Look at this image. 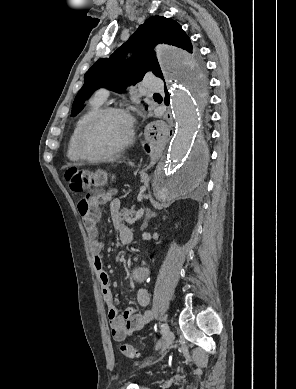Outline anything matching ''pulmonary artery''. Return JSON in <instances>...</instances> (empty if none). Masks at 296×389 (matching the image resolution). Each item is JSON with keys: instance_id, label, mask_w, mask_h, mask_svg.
<instances>
[{"instance_id": "pulmonary-artery-1", "label": "pulmonary artery", "mask_w": 296, "mask_h": 389, "mask_svg": "<svg viewBox=\"0 0 296 389\" xmlns=\"http://www.w3.org/2000/svg\"><path fill=\"white\" fill-rule=\"evenodd\" d=\"M145 87L150 90V91H159L162 89V83L160 80L156 79V78H152V77H149L145 80V83H144ZM109 95V92L107 89H99L97 92H96V97L101 99L102 101H105L107 99Z\"/></svg>"}]
</instances>
